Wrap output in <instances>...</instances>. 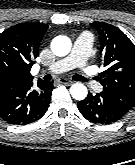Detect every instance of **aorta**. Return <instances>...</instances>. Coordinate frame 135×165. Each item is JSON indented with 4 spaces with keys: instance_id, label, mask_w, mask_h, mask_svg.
Returning <instances> with one entry per match:
<instances>
[{
    "instance_id": "762f6f07",
    "label": "aorta",
    "mask_w": 135,
    "mask_h": 165,
    "mask_svg": "<svg viewBox=\"0 0 135 165\" xmlns=\"http://www.w3.org/2000/svg\"><path fill=\"white\" fill-rule=\"evenodd\" d=\"M71 41L65 36H59L54 39L51 44V49L57 56H65L71 50ZM71 96L78 101L86 98L88 90L82 83H75L70 87Z\"/></svg>"
}]
</instances>
